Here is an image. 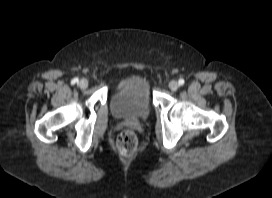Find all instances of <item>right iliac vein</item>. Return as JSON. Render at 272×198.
<instances>
[{
	"mask_svg": "<svg viewBox=\"0 0 272 198\" xmlns=\"http://www.w3.org/2000/svg\"><path fill=\"white\" fill-rule=\"evenodd\" d=\"M78 85L81 89H84L88 86V81L86 79H81L79 82H78Z\"/></svg>",
	"mask_w": 272,
	"mask_h": 198,
	"instance_id": "1",
	"label": "right iliac vein"
}]
</instances>
